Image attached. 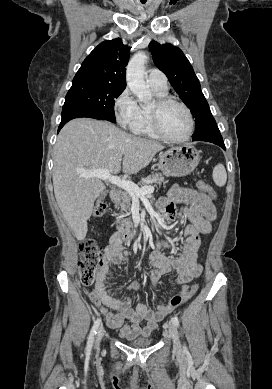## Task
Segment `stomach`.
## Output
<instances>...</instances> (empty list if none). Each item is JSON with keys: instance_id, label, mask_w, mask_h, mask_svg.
Listing matches in <instances>:
<instances>
[{"instance_id": "obj_1", "label": "stomach", "mask_w": 272, "mask_h": 389, "mask_svg": "<svg viewBox=\"0 0 272 389\" xmlns=\"http://www.w3.org/2000/svg\"><path fill=\"white\" fill-rule=\"evenodd\" d=\"M200 154L190 145L172 147L159 154V169L165 176L189 175L200 162Z\"/></svg>"}]
</instances>
